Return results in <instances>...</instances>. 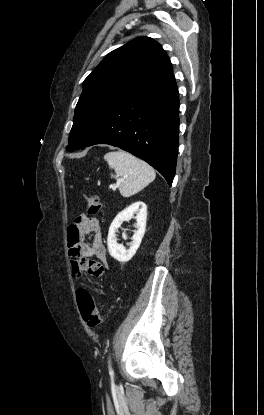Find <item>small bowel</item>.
<instances>
[{
    "instance_id": "1",
    "label": "small bowel",
    "mask_w": 264,
    "mask_h": 415,
    "mask_svg": "<svg viewBox=\"0 0 264 415\" xmlns=\"http://www.w3.org/2000/svg\"><path fill=\"white\" fill-rule=\"evenodd\" d=\"M67 241L72 256L95 257L102 266L108 263L102 233L96 219L77 217L68 228Z\"/></svg>"
}]
</instances>
